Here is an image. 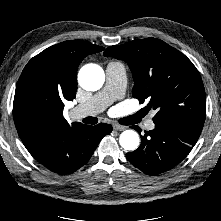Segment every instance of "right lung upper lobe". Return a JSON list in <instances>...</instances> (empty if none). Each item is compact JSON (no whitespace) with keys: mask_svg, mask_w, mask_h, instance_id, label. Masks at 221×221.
<instances>
[{"mask_svg":"<svg viewBox=\"0 0 221 221\" xmlns=\"http://www.w3.org/2000/svg\"><path fill=\"white\" fill-rule=\"evenodd\" d=\"M98 45L81 40L64 41L33 57L18 80L13 118L18 134L33 157H41L51 146L84 126H70L63 117L65 100L77 91V69L88 55L103 51Z\"/></svg>","mask_w":221,"mask_h":221,"instance_id":"cb5924a9","label":"right lung upper lobe"}]
</instances>
